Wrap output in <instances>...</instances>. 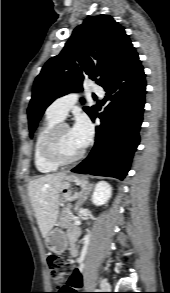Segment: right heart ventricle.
Masks as SVG:
<instances>
[{
	"instance_id": "right-heart-ventricle-1",
	"label": "right heart ventricle",
	"mask_w": 170,
	"mask_h": 293,
	"mask_svg": "<svg viewBox=\"0 0 170 293\" xmlns=\"http://www.w3.org/2000/svg\"><path fill=\"white\" fill-rule=\"evenodd\" d=\"M60 121L57 117L46 113V117L38 129L34 144V163L36 169L41 173L55 172L60 167V165L49 162L43 154V145L47 134Z\"/></svg>"
}]
</instances>
